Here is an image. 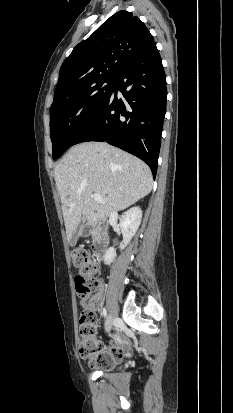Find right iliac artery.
Wrapping results in <instances>:
<instances>
[{"instance_id":"obj_1","label":"right iliac artery","mask_w":233,"mask_h":413,"mask_svg":"<svg viewBox=\"0 0 233 413\" xmlns=\"http://www.w3.org/2000/svg\"><path fill=\"white\" fill-rule=\"evenodd\" d=\"M102 314H103V316L106 318V316H107V311H106L105 308L102 309Z\"/></svg>"}]
</instances>
